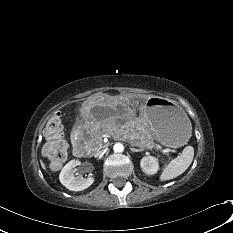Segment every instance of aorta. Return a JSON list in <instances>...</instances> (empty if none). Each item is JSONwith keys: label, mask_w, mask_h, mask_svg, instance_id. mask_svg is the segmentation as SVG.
<instances>
[{"label": "aorta", "mask_w": 233, "mask_h": 233, "mask_svg": "<svg viewBox=\"0 0 233 233\" xmlns=\"http://www.w3.org/2000/svg\"><path fill=\"white\" fill-rule=\"evenodd\" d=\"M113 150L115 153H121L124 151V146L122 143H116L114 146H113Z\"/></svg>", "instance_id": "aorta-1"}]
</instances>
